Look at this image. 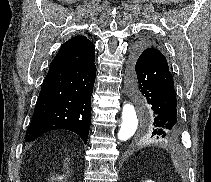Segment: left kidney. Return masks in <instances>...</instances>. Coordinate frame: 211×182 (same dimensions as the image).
Instances as JSON below:
<instances>
[{
	"instance_id": "left-kidney-1",
	"label": "left kidney",
	"mask_w": 211,
	"mask_h": 182,
	"mask_svg": "<svg viewBox=\"0 0 211 182\" xmlns=\"http://www.w3.org/2000/svg\"><path fill=\"white\" fill-rule=\"evenodd\" d=\"M145 182H155V181H152V180H146Z\"/></svg>"
}]
</instances>
